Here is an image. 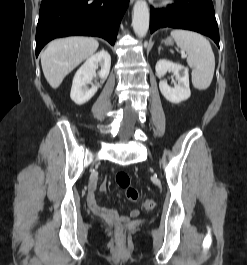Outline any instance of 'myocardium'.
Masks as SVG:
<instances>
[{"label":"myocardium","instance_id":"myocardium-1","mask_svg":"<svg viewBox=\"0 0 247 265\" xmlns=\"http://www.w3.org/2000/svg\"><path fill=\"white\" fill-rule=\"evenodd\" d=\"M173 2V0H167V3H172Z\"/></svg>","mask_w":247,"mask_h":265}]
</instances>
